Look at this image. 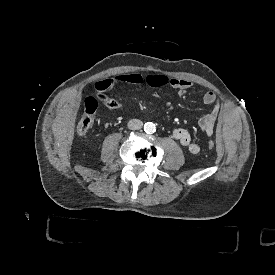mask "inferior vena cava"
Wrapping results in <instances>:
<instances>
[{"mask_svg":"<svg viewBox=\"0 0 275 275\" xmlns=\"http://www.w3.org/2000/svg\"><path fill=\"white\" fill-rule=\"evenodd\" d=\"M143 126V122L139 119H131L127 123V127L130 130H138L141 129Z\"/></svg>","mask_w":275,"mask_h":275,"instance_id":"obj_1","label":"inferior vena cava"}]
</instances>
